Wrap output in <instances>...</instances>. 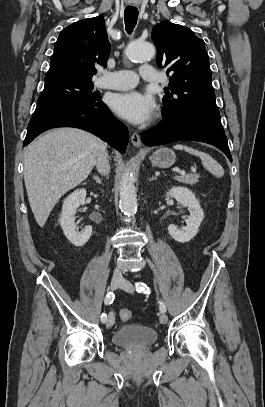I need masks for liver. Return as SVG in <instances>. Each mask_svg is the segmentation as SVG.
Returning <instances> with one entry per match:
<instances>
[{"label": "liver", "instance_id": "1", "mask_svg": "<svg viewBox=\"0 0 265 407\" xmlns=\"http://www.w3.org/2000/svg\"><path fill=\"white\" fill-rule=\"evenodd\" d=\"M106 144L84 130L54 129L33 141L24 153V182L35 220L43 227L55 204L84 181Z\"/></svg>", "mask_w": 265, "mask_h": 407}]
</instances>
